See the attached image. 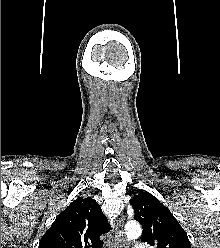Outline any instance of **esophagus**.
<instances>
[{
    "label": "esophagus",
    "mask_w": 220,
    "mask_h": 248,
    "mask_svg": "<svg viewBox=\"0 0 220 248\" xmlns=\"http://www.w3.org/2000/svg\"><path fill=\"white\" fill-rule=\"evenodd\" d=\"M124 226V218L120 217L117 220L116 228H115V238L111 244V248H122L125 243V237L123 232Z\"/></svg>",
    "instance_id": "34e87169"
}]
</instances>
